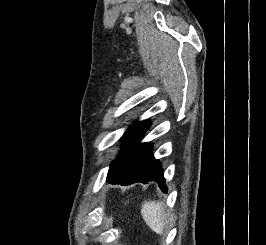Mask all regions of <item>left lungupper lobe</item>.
Instances as JSON below:
<instances>
[{
	"label": "left lung upper lobe",
	"instance_id": "5c2ea615",
	"mask_svg": "<svg viewBox=\"0 0 266 245\" xmlns=\"http://www.w3.org/2000/svg\"><path fill=\"white\" fill-rule=\"evenodd\" d=\"M150 124L151 122H149L148 120L136 123L128 128L127 132L124 133V136L131 138L140 137L145 133ZM123 138L126 139L125 137ZM140 145V140L137 138L126 139L123 144L121 154L119 155L117 160L111 163L107 178L127 173L136 160Z\"/></svg>",
	"mask_w": 266,
	"mask_h": 245
}]
</instances>
